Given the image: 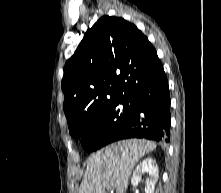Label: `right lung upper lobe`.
Listing matches in <instances>:
<instances>
[{"label": "right lung upper lobe", "mask_w": 221, "mask_h": 193, "mask_svg": "<svg viewBox=\"0 0 221 193\" xmlns=\"http://www.w3.org/2000/svg\"><path fill=\"white\" fill-rule=\"evenodd\" d=\"M155 48L132 23L103 16L66 62L64 113L73 123L120 99H132L160 64Z\"/></svg>", "instance_id": "obj_1"}]
</instances>
